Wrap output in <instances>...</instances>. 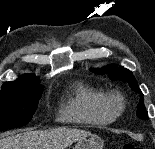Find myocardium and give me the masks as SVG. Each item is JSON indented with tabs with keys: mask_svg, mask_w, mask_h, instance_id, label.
I'll list each match as a JSON object with an SVG mask.
<instances>
[{
	"mask_svg": "<svg viewBox=\"0 0 155 149\" xmlns=\"http://www.w3.org/2000/svg\"><path fill=\"white\" fill-rule=\"evenodd\" d=\"M125 106L123 96L116 92L104 93L100 102L101 110L114 120L123 114Z\"/></svg>",
	"mask_w": 155,
	"mask_h": 149,
	"instance_id": "myocardium-1",
	"label": "myocardium"
}]
</instances>
